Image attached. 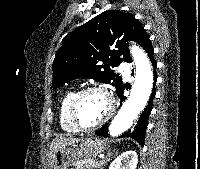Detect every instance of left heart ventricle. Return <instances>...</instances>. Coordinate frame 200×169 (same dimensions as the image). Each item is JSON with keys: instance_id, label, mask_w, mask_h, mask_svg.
<instances>
[{"instance_id": "1", "label": "left heart ventricle", "mask_w": 200, "mask_h": 169, "mask_svg": "<svg viewBox=\"0 0 200 169\" xmlns=\"http://www.w3.org/2000/svg\"><path fill=\"white\" fill-rule=\"evenodd\" d=\"M108 109L106 97L100 92H89L84 95L77 106V118L84 127L98 123Z\"/></svg>"}]
</instances>
